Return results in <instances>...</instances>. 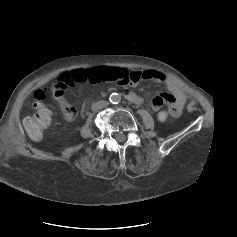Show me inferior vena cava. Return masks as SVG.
<instances>
[{"label": "inferior vena cava", "instance_id": "obj_1", "mask_svg": "<svg viewBox=\"0 0 237 237\" xmlns=\"http://www.w3.org/2000/svg\"><path fill=\"white\" fill-rule=\"evenodd\" d=\"M108 105L107 101L101 100V101H97L95 102L92 106L91 109L92 111H97L100 109H103L104 107H106Z\"/></svg>", "mask_w": 237, "mask_h": 237}]
</instances>
